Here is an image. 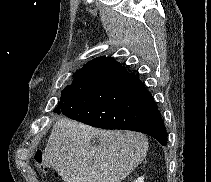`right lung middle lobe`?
Wrapping results in <instances>:
<instances>
[{
  "label": "right lung middle lobe",
  "instance_id": "right-lung-middle-lobe-1",
  "mask_svg": "<svg viewBox=\"0 0 211 182\" xmlns=\"http://www.w3.org/2000/svg\"><path fill=\"white\" fill-rule=\"evenodd\" d=\"M81 71H82V69H80L79 71H77L76 73H74L72 84L66 86V87L63 89V91L61 92V95H62L61 99L67 97V96L72 92V90L75 88L76 82H77V80H78V77H79Z\"/></svg>",
  "mask_w": 211,
  "mask_h": 182
}]
</instances>
